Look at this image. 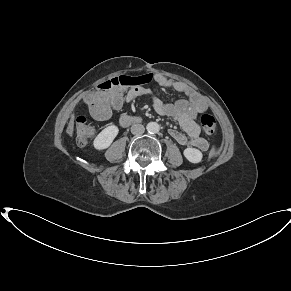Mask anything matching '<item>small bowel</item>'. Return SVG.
<instances>
[{
    "label": "small bowel",
    "instance_id": "1",
    "mask_svg": "<svg viewBox=\"0 0 291 291\" xmlns=\"http://www.w3.org/2000/svg\"><path fill=\"white\" fill-rule=\"evenodd\" d=\"M141 82L146 83L153 80L158 86L170 88L186 96L175 103H165L158 98L150 89L137 85L128 90L123 88L106 91L102 95L91 92L85 95L83 101L88 105L91 116L98 121H103L111 116L112 110L119 111L126 104L132 103L139 97H150L155 111L161 116L174 118L182 128L183 132L171 129L169 134L181 145L196 147L206 151L209 144L200 135V128L195 121L198 113L207 110V102L201 98L187 84L168 78L162 74L144 75L140 78Z\"/></svg>",
    "mask_w": 291,
    "mask_h": 291
}]
</instances>
